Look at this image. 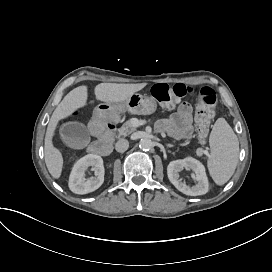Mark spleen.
Returning a JSON list of instances; mask_svg holds the SVG:
<instances>
[{"mask_svg": "<svg viewBox=\"0 0 272 272\" xmlns=\"http://www.w3.org/2000/svg\"><path fill=\"white\" fill-rule=\"evenodd\" d=\"M209 173L217 185L225 184L234 174L239 155V141L224 118H218L210 133Z\"/></svg>", "mask_w": 272, "mask_h": 272, "instance_id": "obj_1", "label": "spleen"}]
</instances>
